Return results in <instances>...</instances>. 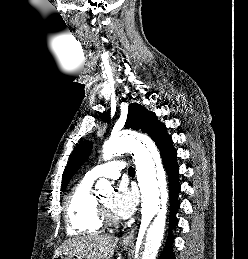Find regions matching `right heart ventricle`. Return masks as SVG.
Segmentation results:
<instances>
[{"label": "right heart ventricle", "instance_id": "obj_1", "mask_svg": "<svg viewBox=\"0 0 248 259\" xmlns=\"http://www.w3.org/2000/svg\"><path fill=\"white\" fill-rule=\"evenodd\" d=\"M92 185L93 180L84 177L67 198L65 220L69 234L97 233L103 226Z\"/></svg>", "mask_w": 248, "mask_h": 259}]
</instances>
